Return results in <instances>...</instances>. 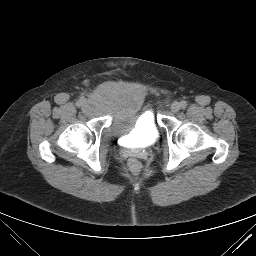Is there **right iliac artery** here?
I'll return each instance as SVG.
<instances>
[{
  "label": "right iliac artery",
  "mask_w": 256,
  "mask_h": 256,
  "mask_svg": "<svg viewBox=\"0 0 256 256\" xmlns=\"http://www.w3.org/2000/svg\"><path fill=\"white\" fill-rule=\"evenodd\" d=\"M84 102V98H80L77 102H76V106L80 107Z\"/></svg>",
  "instance_id": "obj_1"
}]
</instances>
